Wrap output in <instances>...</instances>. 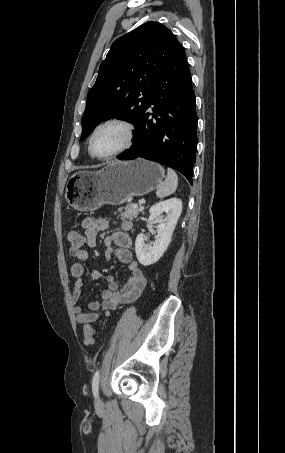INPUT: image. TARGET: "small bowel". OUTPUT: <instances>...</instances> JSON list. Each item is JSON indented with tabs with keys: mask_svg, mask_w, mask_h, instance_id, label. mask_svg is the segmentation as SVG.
Wrapping results in <instances>:
<instances>
[{
	"mask_svg": "<svg viewBox=\"0 0 285 453\" xmlns=\"http://www.w3.org/2000/svg\"><path fill=\"white\" fill-rule=\"evenodd\" d=\"M81 227L84 229L86 245L89 248H94L97 245L98 232L106 230L109 227V221L103 218L89 216L82 220ZM120 227L121 230L112 232L106 236L104 240L106 246L104 258L107 261L116 258L124 263L130 276L121 288H119L114 276H108L106 278L107 288L102 292V302L90 303L89 311L87 312H84L79 305L85 268L80 262H76L71 266V274L76 279L71 300L75 318L79 324L88 325L97 321L103 315L108 316L120 304L137 300L145 289L147 279L139 268L138 263L134 260L131 252L132 239L128 231L132 228V223L129 220H123ZM76 258L80 261L86 260L88 258L87 250L80 252ZM101 277L102 275L98 270L91 271V280H99Z\"/></svg>",
	"mask_w": 285,
	"mask_h": 453,
	"instance_id": "1",
	"label": "small bowel"
}]
</instances>
